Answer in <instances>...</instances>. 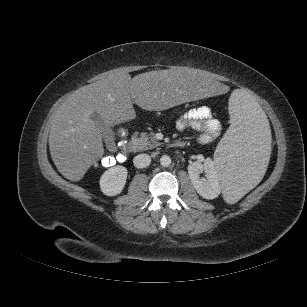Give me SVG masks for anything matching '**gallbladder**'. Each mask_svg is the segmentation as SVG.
Returning a JSON list of instances; mask_svg holds the SVG:
<instances>
[{"instance_id": "obj_1", "label": "gallbladder", "mask_w": 307, "mask_h": 307, "mask_svg": "<svg viewBox=\"0 0 307 307\" xmlns=\"http://www.w3.org/2000/svg\"><path fill=\"white\" fill-rule=\"evenodd\" d=\"M91 118L95 125L102 131L105 142L110 143L114 139V133L111 127L97 113H94Z\"/></svg>"}]
</instances>
